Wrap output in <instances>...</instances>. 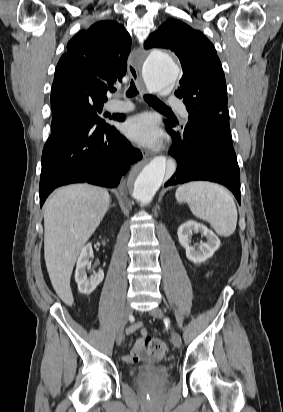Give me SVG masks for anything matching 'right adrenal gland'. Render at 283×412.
<instances>
[{
    "mask_svg": "<svg viewBox=\"0 0 283 412\" xmlns=\"http://www.w3.org/2000/svg\"><path fill=\"white\" fill-rule=\"evenodd\" d=\"M114 206H115V204H111V201H110V205H109L108 209L111 208V207H114Z\"/></svg>",
    "mask_w": 283,
    "mask_h": 412,
    "instance_id": "right-adrenal-gland-1",
    "label": "right adrenal gland"
}]
</instances>
